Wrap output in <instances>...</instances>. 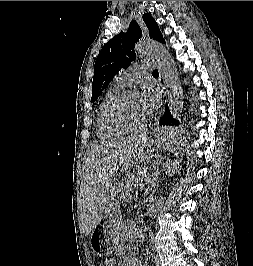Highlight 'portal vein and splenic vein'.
I'll list each match as a JSON object with an SVG mask.
<instances>
[{"label":"portal vein and splenic vein","instance_id":"obj_1","mask_svg":"<svg viewBox=\"0 0 253 266\" xmlns=\"http://www.w3.org/2000/svg\"><path fill=\"white\" fill-rule=\"evenodd\" d=\"M138 174L143 176L144 173L143 172H138ZM137 193H138V190H137L136 194Z\"/></svg>","mask_w":253,"mask_h":266}]
</instances>
